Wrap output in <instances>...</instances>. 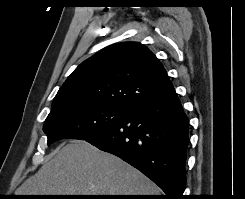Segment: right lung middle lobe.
Here are the masks:
<instances>
[{"instance_id": "obj_1", "label": "right lung middle lobe", "mask_w": 245, "mask_h": 199, "mask_svg": "<svg viewBox=\"0 0 245 199\" xmlns=\"http://www.w3.org/2000/svg\"><path fill=\"white\" fill-rule=\"evenodd\" d=\"M128 110L96 103L72 105L51 112L44 123L47 144L64 138L89 139L122 120Z\"/></svg>"}]
</instances>
